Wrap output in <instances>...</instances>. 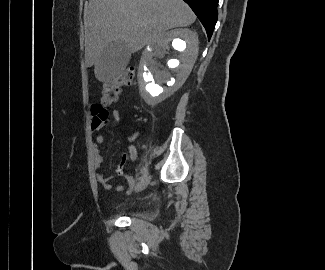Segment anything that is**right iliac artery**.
Instances as JSON below:
<instances>
[{
    "label": "right iliac artery",
    "mask_w": 325,
    "mask_h": 270,
    "mask_svg": "<svg viewBox=\"0 0 325 270\" xmlns=\"http://www.w3.org/2000/svg\"><path fill=\"white\" fill-rule=\"evenodd\" d=\"M147 175H148V169L147 167H143L142 176L140 180H143Z\"/></svg>",
    "instance_id": "1"
}]
</instances>
